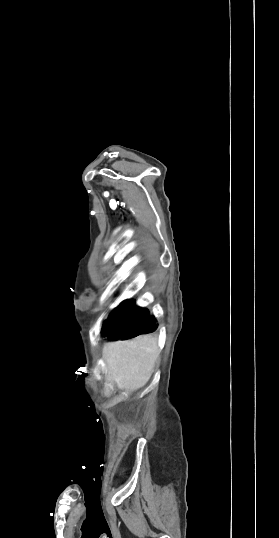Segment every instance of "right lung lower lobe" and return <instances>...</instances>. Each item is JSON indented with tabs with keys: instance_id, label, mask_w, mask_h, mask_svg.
Masks as SVG:
<instances>
[{
	"instance_id": "obj_1",
	"label": "right lung lower lobe",
	"mask_w": 279,
	"mask_h": 538,
	"mask_svg": "<svg viewBox=\"0 0 279 538\" xmlns=\"http://www.w3.org/2000/svg\"><path fill=\"white\" fill-rule=\"evenodd\" d=\"M156 322L147 309L135 306L133 300H126L111 312L104 322L102 334L112 340L132 338L154 332L158 327Z\"/></svg>"
}]
</instances>
